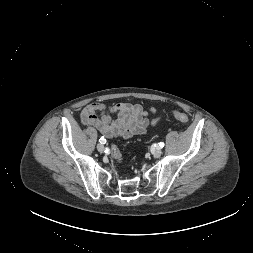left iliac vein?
<instances>
[{
  "label": "left iliac vein",
  "instance_id": "obj_1",
  "mask_svg": "<svg viewBox=\"0 0 253 253\" xmlns=\"http://www.w3.org/2000/svg\"><path fill=\"white\" fill-rule=\"evenodd\" d=\"M161 154H162V149H161L160 147H157V148L153 151V153H152L153 157H155V158L160 157Z\"/></svg>",
  "mask_w": 253,
  "mask_h": 253
}]
</instances>
